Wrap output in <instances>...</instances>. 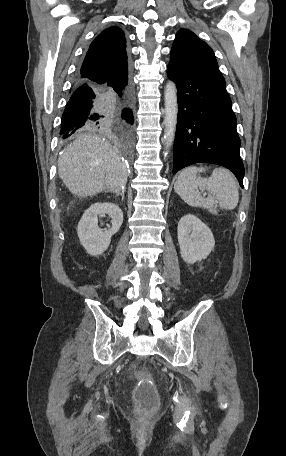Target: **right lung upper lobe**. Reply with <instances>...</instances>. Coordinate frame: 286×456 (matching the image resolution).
<instances>
[{
    "mask_svg": "<svg viewBox=\"0 0 286 456\" xmlns=\"http://www.w3.org/2000/svg\"><path fill=\"white\" fill-rule=\"evenodd\" d=\"M79 74L100 83L128 76L126 39L120 28L105 29L93 40Z\"/></svg>",
    "mask_w": 286,
    "mask_h": 456,
    "instance_id": "1",
    "label": "right lung upper lobe"
}]
</instances>
